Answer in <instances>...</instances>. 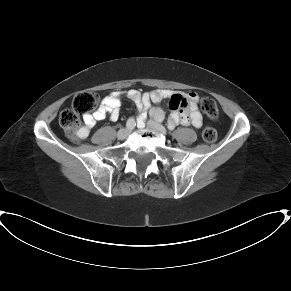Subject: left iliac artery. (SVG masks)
<instances>
[{
	"instance_id": "44dca946",
	"label": "left iliac artery",
	"mask_w": 291,
	"mask_h": 291,
	"mask_svg": "<svg viewBox=\"0 0 291 291\" xmlns=\"http://www.w3.org/2000/svg\"><path fill=\"white\" fill-rule=\"evenodd\" d=\"M156 119H157L158 121H162V120H163V116H162L161 114H157Z\"/></svg>"
}]
</instances>
